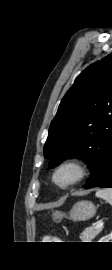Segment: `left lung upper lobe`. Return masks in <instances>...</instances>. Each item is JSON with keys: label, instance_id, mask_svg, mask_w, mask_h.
<instances>
[{"label": "left lung upper lobe", "instance_id": "obj_1", "mask_svg": "<svg viewBox=\"0 0 112 270\" xmlns=\"http://www.w3.org/2000/svg\"><path fill=\"white\" fill-rule=\"evenodd\" d=\"M112 146V53L88 66L63 97L52 120L44 155L54 167L66 158L87 159L91 180Z\"/></svg>", "mask_w": 112, "mask_h": 270}]
</instances>
